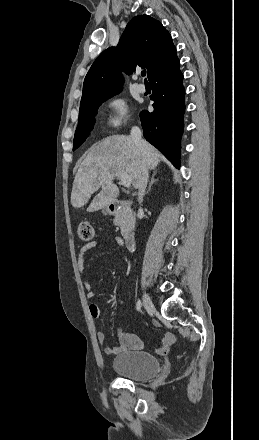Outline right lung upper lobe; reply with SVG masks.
I'll list each match as a JSON object with an SVG mask.
<instances>
[{
    "label": "right lung upper lobe",
    "mask_w": 259,
    "mask_h": 440,
    "mask_svg": "<svg viewBox=\"0 0 259 440\" xmlns=\"http://www.w3.org/2000/svg\"><path fill=\"white\" fill-rule=\"evenodd\" d=\"M175 55L172 38L159 21L148 15L134 17L118 46L103 51L92 64L84 80L80 106L121 91V70L131 74L140 66L147 69L150 78Z\"/></svg>",
    "instance_id": "1"
}]
</instances>
